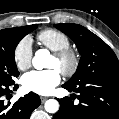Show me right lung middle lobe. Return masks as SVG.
<instances>
[{
	"label": "right lung middle lobe",
	"instance_id": "1",
	"mask_svg": "<svg viewBox=\"0 0 119 119\" xmlns=\"http://www.w3.org/2000/svg\"><path fill=\"white\" fill-rule=\"evenodd\" d=\"M37 24L0 30V83L11 84L19 76L14 53L19 41L35 30Z\"/></svg>",
	"mask_w": 119,
	"mask_h": 119
}]
</instances>
